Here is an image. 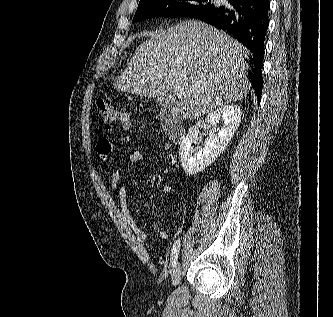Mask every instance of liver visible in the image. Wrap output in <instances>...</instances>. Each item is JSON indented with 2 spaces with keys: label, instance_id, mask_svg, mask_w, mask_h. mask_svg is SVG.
Returning <instances> with one entry per match:
<instances>
[{
  "label": "liver",
  "instance_id": "6515ba94",
  "mask_svg": "<svg viewBox=\"0 0 333 317\" xmlns=\"http://www.w3.org/2000/svg\"><path fill=\"white\" fill-rule=\"evenodd\" d=\"M248 50L225 32L188 20L151 33L116 81L119 91L154 98L181 86L171 112L192 120L248 94Z\"/></svg>",
  "mask_w": 333,
  "mask_h": 317
}]
</instances>
